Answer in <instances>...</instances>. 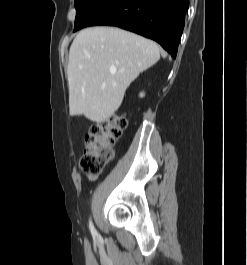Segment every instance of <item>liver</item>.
Returning <instances> with one entry per match:
<instances>
[{"mask_svg":"<svg viewBox=\"0 0 247 265\" xmlns=\"http://www.w3.org/2000/svg\"><path fill=\"white\" fill-rule=\"evenodd\" d=\"M160 59L149 39L114 27H90L74 38L68 61L71 115L103 122L121 105L129 85Z\"/></svg>","mask_w":247,"mask_h":265,"instance_id":"liver-1","label":"liver"}]
</instances>
